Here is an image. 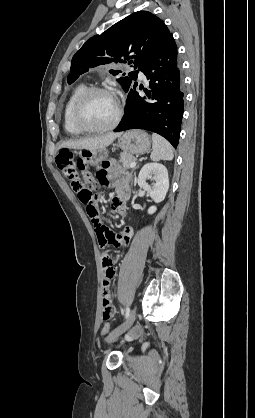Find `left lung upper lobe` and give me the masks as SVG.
I'll return each mask as SVG.
<instances>
[{
    "label": "left lung upper lobe",
    "mask_w": 255,
    "mask_h": 418,
    "mask_svg": "<svg viewBox=\"0 0 255 418\" xmlns=\"http://www.w3.org/2000/svg\"><path fill=\"white\" fill-rule=\"evenodd\" d=\"M172 37L160 18L147 11L135 12L84 43L72 58L67 82L73 83L88 68L99 65L123 62L140 67L164 49ZM110 73L125 75L121 70H110ZM136 73L133 71L118 79L126 92L136 79Z\"/></svg>",
    "instance_id": "1"
}]
</instances>
